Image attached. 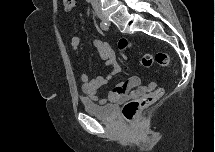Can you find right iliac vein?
Instances as JSON below:
<instances>
[{
  "label": "right iliac vein",
  "instance_id": "1",
  "mask_svg": "<svg viewBox=\"0 0 215 152\" xmlns=\"http://www.w3.org/2000/svg\"><path fill=\"white\" fill-rule=\"evenodd\" d=\"M99 17H100V19H101V20H103V21H105V22H108V20H107L106 16H104V15H100Z\"/></svg>",
  "mask_w": 215,
  "mask_h": 152
}]
</instances>
